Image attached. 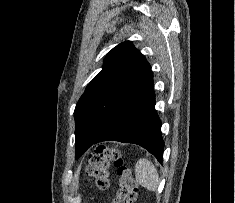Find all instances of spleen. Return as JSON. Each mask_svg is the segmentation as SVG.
Here are the masks:
<instances>
[{
    "instance_id": "obj_1",
    "label": "spleen",
    "mask_w": 235,
    "mask_h": 203,
    "mask_svg": "<svg viewBox=\"0 0 235 203\" xmlns=\"http://www.w3.org/2000/svg\"><path fill=\"white\" fill-rule=\"evenodd\" d=\"M135 177L142 187L150 191H155L159 185L158 172L151 161L142 158L135 165Z\"/></svg>"
}]
</instances>
